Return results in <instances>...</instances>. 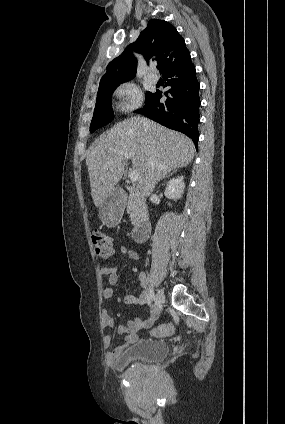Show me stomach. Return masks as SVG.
<instances>
[{
    "label": "stomach",
    "instance_id": "stomach-1",
    "mask_svg": "<svg viewBox=\"0 0 285 424\" xmlns=\"http://www.w3.org/2000/svg\"><path fill=\"white\" fill-rule=\"evenodd\" d=\"M124 208V198L117 196L114 192H111L99 206V218L104 225L113 227L120 221Z\"/></svg>",
    "mask_w": 285,
    "mask_h": 424
}]
</instances>
